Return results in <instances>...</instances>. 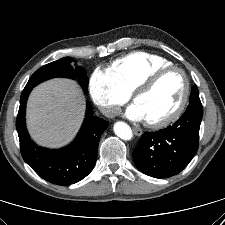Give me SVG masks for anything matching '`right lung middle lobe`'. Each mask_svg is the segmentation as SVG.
<instances>
[{
	"mask_svg": "<svg viewBox=\"0 0 225 225\" xmlns=\"http://www.w3.org/2000/svg\"><path fill=\"white\" fill-rule=\"evenodd\" d=\"M71 57H65L51 62L39 68L29 79L25 88H33L37 84L53 77H68L74 79L76 74L85 90L88 88V80L84 69L76 67V71L70 66Z\"/></svg>",
	"mask_w": 225,
	"mask_h": 225,
	"instance_id": "obj_1",
	"label": "right lung middle lobe"
}]
</instances>
